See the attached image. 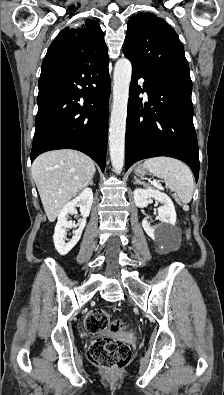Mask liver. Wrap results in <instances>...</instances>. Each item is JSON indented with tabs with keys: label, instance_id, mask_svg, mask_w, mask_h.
I'll use <instances>...</instances> for the list:
<instances>
[{
	"label": "liver",
	"instance_id": "liver-1",
	"mask_svg": "<svg viewBox=\"0 0 224 395\" xmlns=\"http://www.w3.org/2000/svg\"><path fill=\"white\" fill-rule=\"evenodd\" d=\"M95 170L90 157L71 149L49 151L34 160L32 176L50 222H54L69 200L88 186Z\"/></svg>",
	"mask_w": 224,
	"mask_h": 395
}]
</instances>
